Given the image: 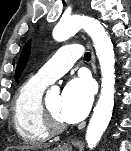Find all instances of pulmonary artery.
<instances>
[{"mask_svg": "<svg viewBox=\"0 0 131 151\" xmlns=\"http://www.w3.org/2000/svg\"><path fill=\"white\" fill-rule=\"evenodd\" d=\"M81 56V45H64L38 70L35 76L49 84L64 75Z\"/></svg>", "mask_w": 131, "mask_h": 151, "instance_id": "1", "label": "pulmonary artery"}]
</instances>
